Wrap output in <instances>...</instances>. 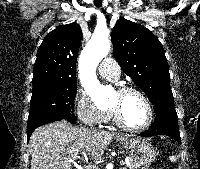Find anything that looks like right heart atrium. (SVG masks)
Segmentation results:
<instances>
[{
	"label": "right heart atrium",
	"mask_w": 200,
	"mask_h": 169,
	"mask_svg": "<svg viewBox=\"0 0 200 169\" xmlns=\"http://www.w3.org/2000/svg\"><path fill=\"white\" fill-rule=\"evenodd\" d=\"M77 117L87 125H100L104 122L106 110L96 105L93 99L78 91L73 103Z\"/></svg>",
	"instance_id": "obj_1"
}]
</instances>
